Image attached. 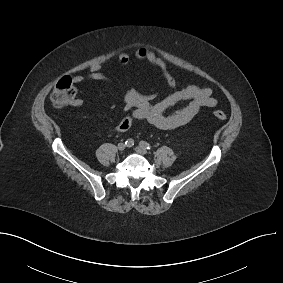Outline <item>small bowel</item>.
I'll use <instances>...</instances> for the list:
<instances>
[{"label": "small bowel", "mask_w": 283, "mask_h": 283, "mask_svg": "<svg viewBox=\"0 0 283 283\" xmlns=\"http://www.w3.org/2000/svg\"><path fill=\"white\" fill-rule=\"evenodd\" d=\"M133 57L156 67L166 84L172 89V92L159 102L153 103L152 100L156 95L155 93L141 94L133 88L125 89L123 91V101L126 115L116 126L118 133L127 132L136 120H145L160 129H174L191 121L203 107H214L217 105V100L213 97V91L209 87L188 85L184 88L176 89L177 82L175 78L169 73L164 60L153 50L138 47L134 50ZM117 61L120 65L127 66L131 61V57L129 54L121 52L117 55ZM87 80L111 84L100 65H92L88 75H76L73 77L75 83H82ZM181 101H188V103L171 113H166L168 108ZM82 103L83 101L80 98L73 101L75 106H80Z\"/></svg>", "instance_id": "obj_1"}]
</instances>
